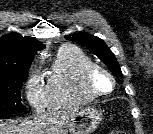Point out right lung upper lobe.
<instances>
[{
	"label": "right lung upper lobe",
	"instance_id": "right-lung-upper-lobe-1",
	"mask_svg": "<svg viewBox=\"0 0 153 134\" xmlns=\"http://www.w3.org/2000/svg\"><path fill=\"white\" fill-rule=\"evenodd\" d=\"M45 45L34 37L9 33L0 37V73L28 71L37 51Z\"/></svg>",
	"mask_w": 153,
	"mask_h": 134
}]
</instances>
